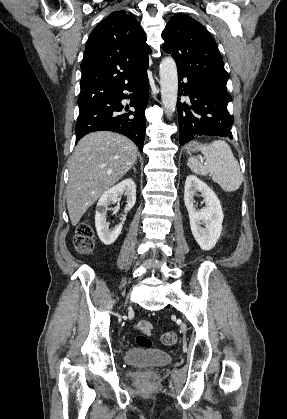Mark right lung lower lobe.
Segmentation results:
<instances>
[{"label":"right lung lower lobe","instance_id":"98d812e1","mask_svg":"<svg viewBox=\"0 0 287 419\" xmlns=\"http://www.w3.org/2000/svg\"><path fill=\"white\" fill-rule=\"evenodd\" d=\"M124 90L129 94L124 93ZM148 97L149 81L146 72L135 82L93 101L79 112L75 126L76 143L90 132L107 130L125 135L142 151ZM123 99H130V106L134 111L123 112ZM125 110L128 111L129 108L126 107Z\"/></svg>","mask_w":287,"mask_h":419}]
</instances>
